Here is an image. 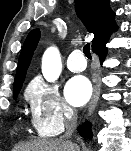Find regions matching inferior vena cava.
I'll list each match as a JSON object with an SVG mask.
<instances>
[{"label": "inferior vena cava", "instance_id": "inferior-vena-cava-1", "mask_svg": "<svg viewBox=\"0 0 131 151\" xmlns=\"http://www.w3.org/2000/svg\"><path fill=\"white\" fill-rule=\"evenodd\" d=\"M77 124V117L74 115L73 111L69 109L66 113V120H65V128L66 132L64 138L68 139L73 134Z\"/></svg>", "mask_w": 131, "mask_h": 151}]
</instances>
